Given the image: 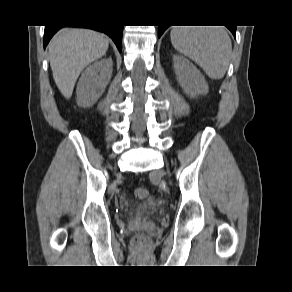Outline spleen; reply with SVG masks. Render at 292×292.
I'll return each instance as SVG.
<instances>
[{
    "label": "spleen",
    "mask_w": 292,
    "mask_h": 292,
    "mask_svg": "<svg viewBox=\"0 0 292 292\" xmlns=\"http://www.w3.org/2000/svg\"><path fill=\"white\" fill-rule=\"evenodd\" d=\"M170 37L173 47L201 67L209 78L224 77L232 53L231 39L224 28L175 26Z\"/></svg>",
    "instance_id": "spleen-1"
}]
</instances>
